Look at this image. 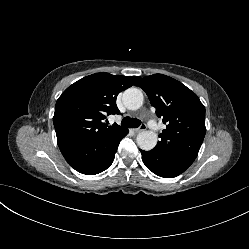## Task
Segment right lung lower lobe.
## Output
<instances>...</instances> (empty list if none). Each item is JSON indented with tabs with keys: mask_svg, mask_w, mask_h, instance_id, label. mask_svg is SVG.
Returning a JSON list of instances; mask_svg holds the SVG:
<instances>
[{
	"mask_svg": "<svg viewBox=\"0 0 249 249\" xmlns=\"http://www.w3.org/2000/svg\"><path fill=\"white\" fill-rule=\"evenodd\" d=\"M125 129L95 141L58 143L66 161L82 174L94 175L106 170L113 162L120 141L128 134Z\"/></svg>",
	"mask_w": 249,
	"mask_h": 249,
	"instance_id": "right-lung-lower-lobe-1",
	"label": "right lung lower lobe"
}]
</instances>
